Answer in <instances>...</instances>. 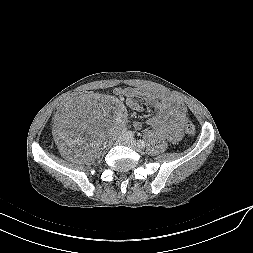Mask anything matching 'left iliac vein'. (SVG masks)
I'll return each mask as SVG.
<instances>
[{
    "label": "left iliac vein",
    "instance_id": "left-iliac-vein-1",
    "mask_svg": "<svg viewBox=\"0 0 253 253\" xmlns=\"http://www.w3.org/2000/svg\"><path fill=\"white\" fill-rule=\"evenodd\" d=\"M122 144L138 152L141 150L140 146L138 145V142L133 137H126Z\"/></svg>",
    "mask_w": 253,
    "mask_h": 253
}]
</instances>
